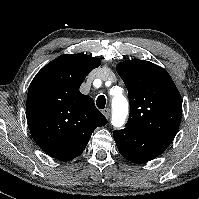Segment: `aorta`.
<instances>
[{
	"label": "aorta",
	"instance_id": "1",
	"mask_svg": "<svg viewBox=\"0 0 199 199\" xmlns=\"http://www.w3.org/2000/svg\"><path fill=\"white\" fill-rule=\"evenodd\" d=\"M118 88V87H115ZM112 124L114 127H121L128 115V102L122 94L116 95L112 100Z\"/></svg>",
	"mask_w": 199,
	"mask_h": 199
}]
</instances>
